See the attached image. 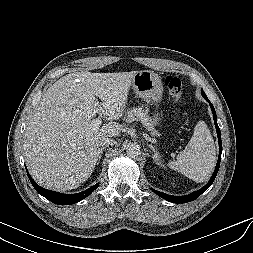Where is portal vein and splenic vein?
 <instances>
[{
	"instance_id": "obj_1",
	"label": "portal vein and splenic vein",
	"mask_w": 253,
	"mask_h": 253,
	"mask_svg": "<svg viewBox=\"0 0 253 253\" xmlns=\"http://www.w3.org/2000/svg\"><path fill=\"white\" fill-rule=\"evenodd\" d=\"M101 123H102V120H101L100 116L91 121V125L93 126L94 129H98L100 127Z\"/></svg>"
}]
</instances>
